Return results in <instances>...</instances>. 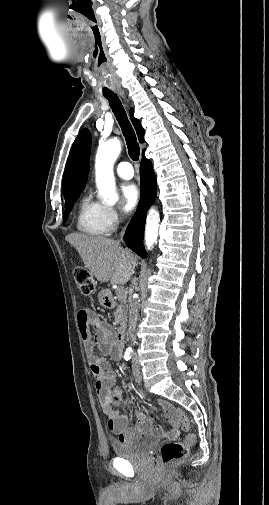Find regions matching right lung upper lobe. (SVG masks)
Returning <instances> with one entry per match:
<instances>
[{
  "label": "right lung upper lobe",
  "instance_id": "1",
  "mask_svg": "<svg viewBox=\"0 0 269 505\" xmlns=\"http://www.w3.org/2000/svg\"><path fill=\"white\" fill-rule=\"evenodd\" d=\"M130 117L139 142L143 143L145 131L139 119L133 117V109L130 110ZM90 144V133L87 129H84L74 141L66 163L62 186L65 200L82 192L85 187L89 172Z\"/></svg>",
  "mask_w": 269,
  "mask_h": 505
}]
</instances>
